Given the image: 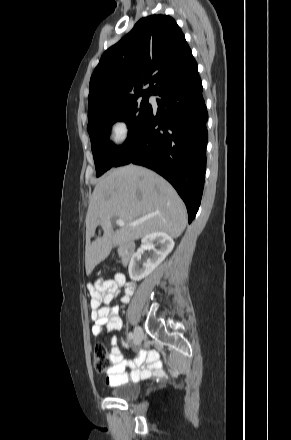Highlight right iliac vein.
I'll return each instance as SVG.
<instances>
[{
    "mask_svg": "<svg viewBox=\"0 0 291 440\" xmlns=\"http://www.w3.org/2000/svg\"><path fill=\"white\" fill-rule=\"evenodd\" d=\"M143 338H144L143 331L139 326H137L134 330V344L140 345Z\"/></svg>",
    "mask_w": 291,
    "mask_h": 440,
    "instance_id": "right-iliac-vein-1",
    "label": "right iliac vein"
}]
</instances>
